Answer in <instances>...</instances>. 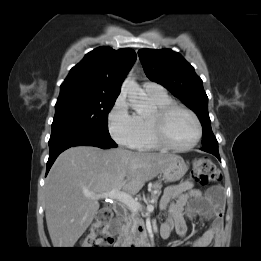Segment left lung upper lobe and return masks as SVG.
Here are the masks:
<instances>
[{
    "instance_id": "left-lung-upper-lobe-1",
    "label": "left lung upper lobe",
    "mask_w": 261,
    "mask_h": 261,
    "mask_svg": "<svg viewBox=\"0 0 261 261\" xmlns=\"http://www.w3.org/2000/svg\"><path fill=\"white\" fill-rule=\"evenodd\" d=\"M138 55L147 77L167 88L198 116L203 128L202 146L218 147L211 129L208 97L194 68L170 49H141Z\"/></svg>"
}]
</instances>
